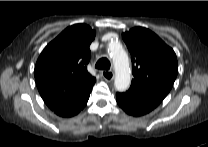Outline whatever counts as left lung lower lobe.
Listing matches in <instances>:
<instances>
[{"label": "left lung lower lobe", "instance_id": "1", "mask_svg": "<svg viewBox=\"0 0 208 147\" xmlns=\"http://www.w3.org/2000/svg\"><path fill=\"white\" fill-rule=\"evenodd\" d=\"M116 100L127 114L141 116L156 108L163 98L153 93L130 87L125 93H116Z\"/></svg>", "mask_w": 208, "mask_h": 147}]
</instances>
